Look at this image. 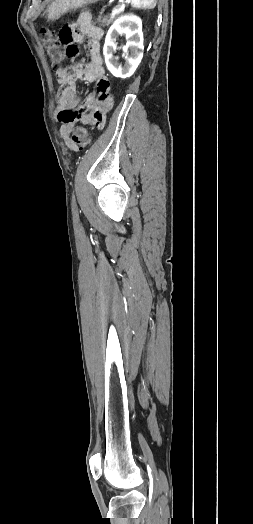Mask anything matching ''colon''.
<instances>
[{
	"label": "colon",
	"mask_w": 253,
	"mask_h": 524,
	"mask_svg": "<svg viewBox=\"0 0 253 524\" xmlns=\"http://www.w3.org/2000/svg\"><path fill=\"white\" fill-rule=\"evenodd\" d=\"M41 40L47 52V55L54 68H59L65 61L64 55V44H59L58 32L50 28L41 29ZM109 111V110H108ZM66 114L62 112L60 114L61 119H65ZM72 145L76 150L84 149L90 142V136L87 128L84 126H77L72 132Z\"/></svg>",
	"instance_id": "5ec220e1"
}]
</instances>
